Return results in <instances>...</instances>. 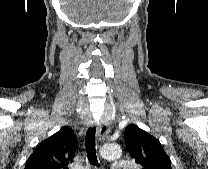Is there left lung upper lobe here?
I'll return each instance as SVG.
<instances>
[{
	"mask_svg": "<svg viewBox=\"0 0 208 169\" xmlns=\"http://www.w3.org/2000/svg\"><path fill=\"white\" fill-rule=\"evenodd\" d=\"M124 139L131 157L143 169H172L170 158L161 143L135 124L125 129Z\"/></svg>",
	"mask_w": 208,
	"mask_h": 169,
	"instance_id": "obj_1",
	"label": "left lung upper lobe"
}]
</instances>
